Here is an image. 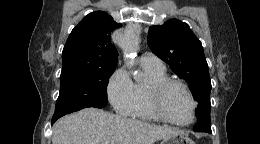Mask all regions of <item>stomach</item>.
Returning a JSON list of instances; mask_svg holds the SVG:
<instances>
[{
    "label": "stomach",
    "mask_w": 260,
    "mask_h": 144,
    "mask_svg": "<svg viewBox=\"0 0 260 144\" xmlns=\"http://www.w3.org/2000/svg\"><path fill=\"white\" fill-rule=\"evenodd\" d=\"M161 144H195L191 139L179 133L163 139Z\"/></svg>",
    "instance_id": "1"
}]
</instances>
